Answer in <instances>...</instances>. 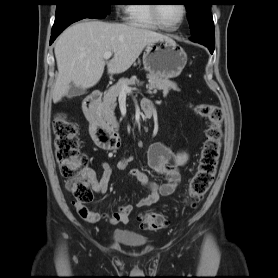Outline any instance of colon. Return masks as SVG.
<instances>
[{
  "label": "colon",
  "mask_w": 278,
  "mask_h": 278,
  "mask_svg": "<svg viewBox=\"0 0 278 278\" xmlns=\"http://www.w3.org/2000/svg\"><path fill=\"white\" fill-rule=\"evenodd\" d=\"M194 111L208 121L205 138L195 174L188 187V200L192 208L204 197L210 188L220 156L223 113L213 104H196ZM55 136V157L61 175L66 179V188L75 202L85 205L92 201L91 171L87 167V157L80 149L77 125L66 114L59 113L53 120ZM144 229L159 230L168 226L167 220L158 213H145L138 217Z\"/></svg>",
  "instance_id": "colon-1"
}]
</instances>
